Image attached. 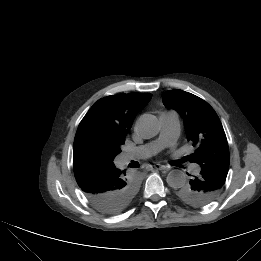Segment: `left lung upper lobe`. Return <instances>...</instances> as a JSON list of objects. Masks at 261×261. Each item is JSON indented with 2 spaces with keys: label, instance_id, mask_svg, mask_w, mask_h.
I'll return each instance as SVG.
<instances>
[{
  "label": "left lung upper lobe",
  "instance_id": "obj_1",
  "mask_svg": "<svg viewBox=\"0 0 261 261\" xmlns=\"http://www.w3.org/2000/svg\"><path fill=\"white\" fill-rule=\"evenodd\" d=\"M167 108L178 111L184 119L188 141L196 147L191 162L200 166L219 164L229 166V149L225 132L214 109L201 98L182 91H166L162 97ZM177 196L190 205H205L204 195L182 186Z\"/></svg>",
  "mask_w": 261,
  "mask_h": 261
}]
</instances>
